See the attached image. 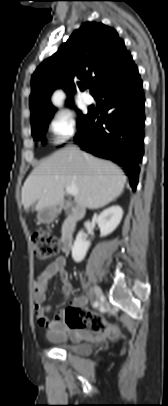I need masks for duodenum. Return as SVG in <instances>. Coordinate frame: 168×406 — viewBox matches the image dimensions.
I'll return each mask as SVG.
<instances>
[{
	"label": "duodenum",
	"mask_w": 168,
	"mask_h": 406,
	"mask_svg": "<svg viewBox=\"0 0 168 406\" xmlns=\"http://www.w3.org/2000/svg\"><path fill=\"white\" fill-rule=\"evenodd\" d=\"M56 211H64L72 208V204L67 201L58 202L55 206ZM83 217V211L79 208H74L68 220L66 221L64 231L61 237V247L64 252H69L72 247L73 237L76 225Z\"/></svg>",
	"instance_id": "1"
}]
</instances>
